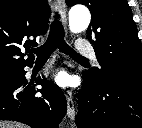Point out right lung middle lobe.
I'll return each mask as SVG.
<instances>
[{"mask_svg":"<svg viewBox=\"0 0 142 128\" xmlns=\"http://www.w3.org/2000/svg\"><path fill=\"white\" fill-rule=\"evenodd\" d=\"M22 71H23V69L18 70V71H13V72L0 74V86L11 84L19 76V74Z\"/></svg>","mask_w":142,"mask_h":128,"instance_id":"right-lung-middle-lobe-1","label":"right lung middle lobe"}]
</instances>
